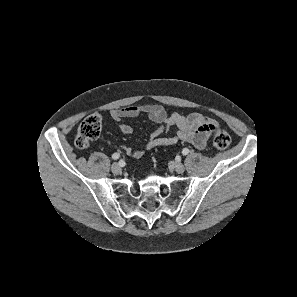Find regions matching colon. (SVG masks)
Listing matches in <instances>:
<instances>
[{"instance_id": "colon-1", "label": "colon", "mask_w": 297, "mask_h": 297, "mask_svg": "<svg viewBox=\"0 0 297 297\" xmlns=\"http://www.w3.org/2000/svg\"><path fill=\"white\" fill-rule=\"evenodd\" d=\"M102 119L98 114L89 115L79 125L75 138V145L79 149H86L89 143L96 139L101 131ZM228 132L220 127L214 130L213 145L218 150H225L230 145Z\"/></svg>"}]
</instances>
